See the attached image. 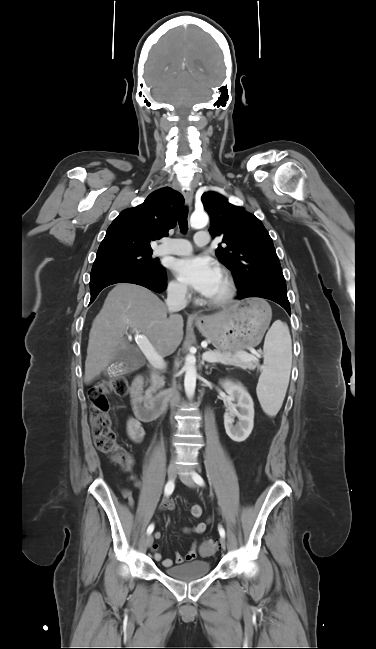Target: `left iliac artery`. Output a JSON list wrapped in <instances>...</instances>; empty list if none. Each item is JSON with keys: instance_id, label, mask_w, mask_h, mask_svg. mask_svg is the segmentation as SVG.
Returning a JSON list of instances; mask_svg holds the SVG:
<instances>
[{"instance_id": "obj_1", "label": "left iliac artery", "mask_w": 376, "mask_h": 649, "mask_svg": "<svg viewBox=\"0 0 376 649\" xmlns=\"http://www.w3.org/2000/svg\"><path fill=\"white\" fill-rule=\"evenodd\" d=\"M192 478L196 484L200 486H204V480L198 473L193 472ZM219 534L221 537H225V530L223 529L222 526L219 527Z\"/></svg>"}]
</instances>
